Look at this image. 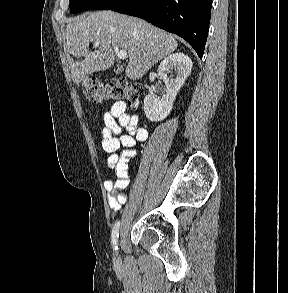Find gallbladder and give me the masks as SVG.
<instances>
[{
	"instance_id": "bac80fb5",
	"label": "gallbladder",
	"mask_w": 288,
	"mask_h": 293,
	"mask_svg": "<svg viewBox=\"0 0 288 293\" xmlns=\"http://www.w3.org/2000/svg\"><path fill=\"white\" fill-rule=\"evenodd\" d=\"M122 71H123V67H117V69L115 70V73L116 74H120V73H122Z\"/></svg>"
}]
</instances>
